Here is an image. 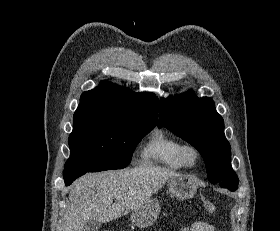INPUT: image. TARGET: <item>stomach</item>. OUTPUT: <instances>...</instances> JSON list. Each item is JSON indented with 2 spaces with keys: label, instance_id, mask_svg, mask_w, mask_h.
Wrapping results in <instances>:
<instances>
[{
  "label": "stomach",
  "instance_id": "0dacf381",
  "mask_svg": "<svg viewBox=\"0 0 280 231\" xmlns=\"http://www.w3.org/2000/svg\"><path fill=\"white\" fill-rule=\"evenodd\" d=\"M167 185L169 193H172L175 197L189 199L197 191L198 179L194 175H185V173H182V175H175V177L168 179ZM160 209L158 199H148L141 207L133 209L131 215L133 225H137V227H149V225H152L158 219Z\"/></svg>",
  "mask_w": 280,
  "mask_h": 231
}]
</instances>
